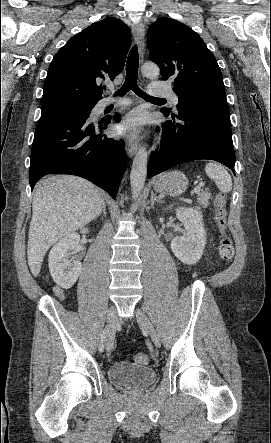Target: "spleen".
I'll list each match as a JSON object with an SVG mask.
<instances>
[{"instance_id":"3e777b00","label":"spleen","mask_w":271,"mask_h":443,"mask_svg":"<svg viewBox=\"0 0 271 443\" xmlns=\"http://www.w3.org/2000/svg\"><path fill=\"white\" fill-rule=\"evenodd\" d=\"M205 172L211 180H214L220 192H224L225 194V192L232 190L231 176L223 166L216 164V162H209L205 168Z\"/></svg>"}]
</instances>
